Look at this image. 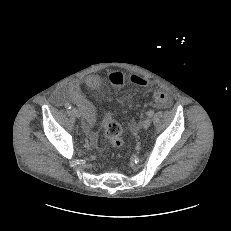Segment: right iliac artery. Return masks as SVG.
I'll list each match as a JSON object with an SVG mask.
<instances>
[{"label":"right iliac artery","instance_id":"obj_1","mask_svg":"<svg viewBox=\"0 0 231 231\" xmlns=\"http://www.w3.org/2000/svg\"><path fill=\"white\" fill-rule=\"evenodd\" d=\"M65 108H67V109H71V104L66 103V104H65Z\"/></svg>","mask_w":231,"mask_h":231}]
</instances>
